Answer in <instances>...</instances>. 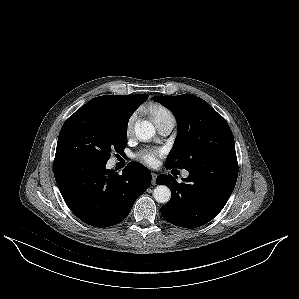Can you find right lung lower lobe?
<instances>
[{"instance_id": "obj_1", "label": "right lung lower lobe", "mask_w": 299, "mask_h": 299, "mask_svg": "<svg viewBox=\"0 0 299 299\" xmlns=\"http://www.w3.org/2000/svg\"><path fill=\"white\" fill-rule=\"evenodd\" d=\"M54 176L73 214L98 228L123 221L151 183L149 170L140 163L130 162L119 175L107 170L106 163L68 154L55 155Z\"/></svg>"}]
</instances>
